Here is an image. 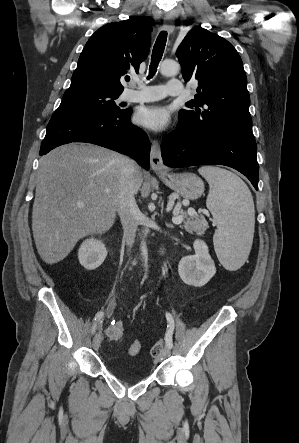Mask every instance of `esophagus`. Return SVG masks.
<instances>
[{
    "label": "esophagus",
    "mask_w": 299,
    "mask_h": 443,
    "mask_svg": "<svg viewBox=\"0 0 299 443\" xmlns=\"http://www.w3.org/2000/svg\"><path fill=\"white\" fill-rule=\"evenodd\" d=\"M173 15L168 13L164 19L163 28L167 30L169 33H172L174 30L173 26ZM150 164L153 171L156 173L166 172V167L163 163V159L161 156V148L158 141H153L150 152Z\"/></svg>",
    "instance_id": "esophagus-1"
}]
</instances>
